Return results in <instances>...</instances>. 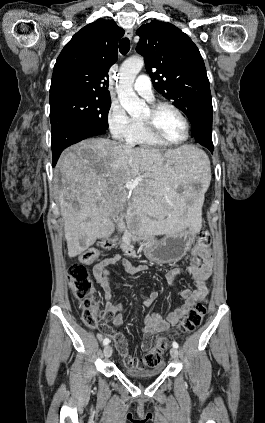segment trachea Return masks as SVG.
Segmentation results:
<instances>
[{
    "mask_svg": "<svg viewBox=\"0 0 265 423\" xmlns=\"http://www.w3.org/2000/svg\"><path fill=\"white\" fill-rule=\"evenodd\" d=\"M119 50L121 54L125 55L130 50V41L128 38H122L119 42Z\"/></svg>",
    "mask_w": 265,
    "mask_h": 423,
    "instance_id": "1",
    "label": "trachea"
}]
</instances>
